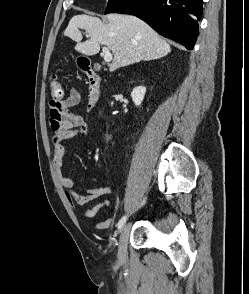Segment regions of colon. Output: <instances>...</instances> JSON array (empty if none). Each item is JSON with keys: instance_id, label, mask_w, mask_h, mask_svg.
<instances>
[{"instance_id": "1", "label": "colon", "mask_w": 249, "mask_h": 294, "mask_svg": "<svg viewBox=\"0 0 249 294\" xmlns=\"http://www.w3.org/2000/svg\"><path fill=\"white\" fill-rule=\"evenodd\" d=\"M50 92L52 97L51 102H59L64 96V90L60 82V78L56 74H54L51 78Z\"/></svg>"}]
</instances>
